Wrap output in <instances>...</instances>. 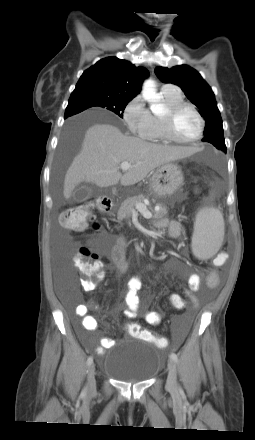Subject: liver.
<instances>
[{
  "label": "liver",
  "mask_w": 255,
  "mask_h": 440,
  "mask_svg": "<svg viewBox=\"0 0 255 440\" xmlns=\"http://www.w3.org/2000/svg\"><path fill=\"white\" fill-rule=\"evenodd\" d=\"M198 151L195 147L158 145L128 137L109 124H95L86 131L81 150L70 165L64 180L63 195L70 198L81 182L99 187L118 184L130 186L143 180L154 169ZM132 167L122 175L120 164Z\"/></svg>",
  "instance_id": "obj_1"
}]
</instances>
